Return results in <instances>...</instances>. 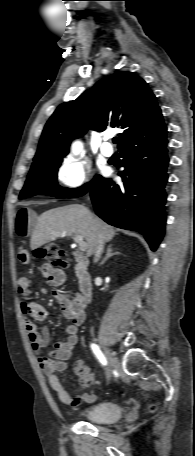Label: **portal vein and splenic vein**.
<instances>
[{"label": "portal vein and splenic vein", "mask_w": 195, "mask_h": 456, "mask_svg": "<svg viewBox=\"0 0 195 456\" xmlns=\"http://www.w3.org/2000/svg\"><path fill=\"white\" fill-rule=\"evenodd\" d=\"M74 240L79 245L80 251L86 250L87 245H86V242L84 241V238L81 235H74Z\"/></svg>", "instance_id": "1"}]
</instances>
